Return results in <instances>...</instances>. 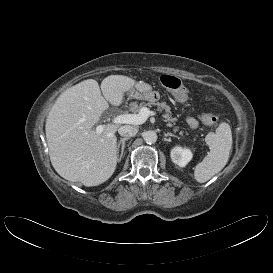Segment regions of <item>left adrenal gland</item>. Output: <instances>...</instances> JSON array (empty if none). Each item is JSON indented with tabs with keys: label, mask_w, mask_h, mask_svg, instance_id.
Instances as JSON below:
<instances>
[{
	"label": "left adrenal gland",
	"mask_w": 273,
	"mask_h": 273,
	"mask_svg": "<svg viewBox=\"0 0 273 273\" xmlns=\"http://www.w3.org/2000/svg\"><path fill=\"white\" fill-rule=\"evenodd\" d=\"M164 136H165V137L171 136V137H176V138H177L176 135H174V134H172V133H170V132H167V133L164 132Z\"/></svg>",
	"instance_id": "a2214340"
}]
</instances>
